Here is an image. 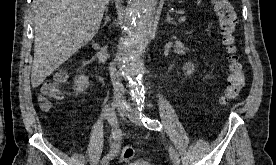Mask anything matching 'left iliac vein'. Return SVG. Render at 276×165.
Here are the masks:
<instances>
[{"instance_id": "left-iliac-vein-1", "label": "left iliac vein", "mask_w": 276, "mask_h": 165, "mask_svg": "<svg viewBox=\"0 0 276 165\" xmlns=\"http://www.w3.org/2000/svg\"><path fill=\"white\" fill-rule=\"evenodd\" d=\"M119 112L121 115L126 116L134 124L142 126V122L138 113L127 104H124L122 107H120ZM173 165H180V162L173 161Z\"/></svg>"}]
</instances>
